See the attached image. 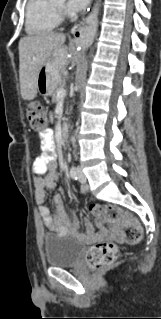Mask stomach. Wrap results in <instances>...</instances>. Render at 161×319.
<instances>
[{
	"label": "stomach",
	"mask_w": 161,
	"mask_h": 319,
	"mask_svg": "<svg viewBox=\"0 0 161 319\" xmlns=\"http://www.w3.org/2000/svg\"><path fill=\"white\" fill-rule=\"evenodd\" d=\"M63 53V49L55 50L40 69L37 81V90L40 94L45 96L52 95L56 87L60 84Z\"/></svg>",
	"instance_id": "stomach-1"
}]
</instances>
